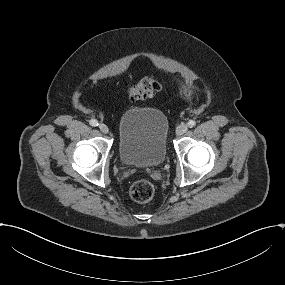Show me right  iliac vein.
<instances>
[{"label": "right iliac vein", "mask_w": 285, "mask_h": 285, "mask_svg": "<svg viewBox=\"0 0 285 285\" xmlns=\"http://www.w3.org/2000/svg\"><path fill=\"white\" fill-rule=\"evenodd\" d=\"M98 128H99V130H100L101 132H103V133H105V134H107V133L109 132L108 126H107L106 124H104V123L99 124V125H98Z\"/></svg>", "instance_id": "right-iliac-vein-1"}]
</instances>
